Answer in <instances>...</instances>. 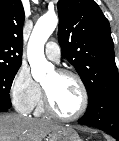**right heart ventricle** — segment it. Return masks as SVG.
Instances as JSON below:
<instances>
[{
    "mask_svg": "<svg viewBox=\"0 0 119 141\" xmlns=\"http://www.w3.org/2000/svg\"><path fill=\"white\" fill-rule=\"evenodd\" d=\"M44 113H45V109H44V106H43V102H42V100H39V102L36 105V114L42 115Z\"/></svg>",
    "mask_w": 119,
    "mask_h": 141,
    "instance_id": "right-heart-ventricle-1",
    "label": "right heart ventricle"
}]
</instances>
